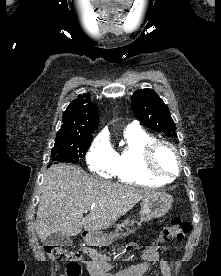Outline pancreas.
<instances>
[{"label":"pancreas","mask_w":221,"mask_h":276,"mask_svg":"<svg viewBox=\"0 0 221 276\" xmlns=\"http://www.w3.org/2000/svg\"><path fill=\"white\" fill-rule=\"evenodd\" d=\"M131 225L134 223L133 220L130 221V219H125L121 224L117 225V229H121L122 227H125L126 225Z\"/></svg>","instance_id":"obj_1"}]
</instances>
